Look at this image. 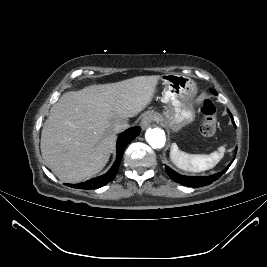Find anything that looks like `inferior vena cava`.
Returning a JSON list of instances; mask_svg holds the SVG:
<instances>
[{
  "instance_id": "inferior-vena-cava-1",
  "label": "inferior vena cava",
  "mask_w": 267,
  "mask_h": 267,
  "mask_svg": "<svg viewBox=\"0 0 267 267\" xmlns=\"http://www.w3.org/2000/svg\"><path fill=\"white\" fill-rule=\"evenodd\" d=\"M129 127V123L127 120H121L114 124V131L116 133L125 130Z\"/></svg>"
}]
</instances>
